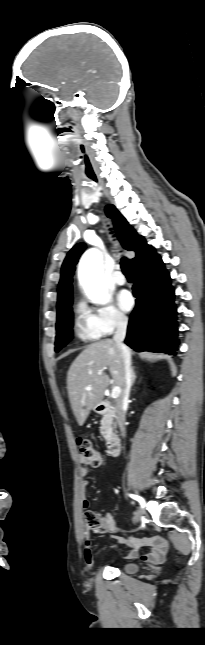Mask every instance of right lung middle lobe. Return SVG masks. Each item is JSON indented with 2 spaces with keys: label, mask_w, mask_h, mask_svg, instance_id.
Wrapping results in <instances>:
<instances>
[{
  "label": "right lung middle lobe",
  "mask_w": 205,
  "mask_h": 645,
  "mask_svg": "<svg viewBox=\"0 0 205 645\" xmlns=\"http://www.w3.org/2000/svg\"><path fill=\"white\" fill-rule=\"evenodd\" d=\"M73 313L69 306L57 315L55 351H59L72 337Z\"/></svg>",
  "instance_id": "obj_1"
}]
</instances>
